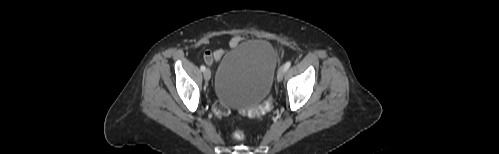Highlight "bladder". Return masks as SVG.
Returning <instances> with one entry per match:
<instances>
[{"label":"bladder","instance_id":"31cf9c89","mask_svg":"<svg viewBox=\"0 0 499 154\" xmlns=\"http://www.w3.org/2000/svg\"><path fill=\"white\" fill-rule=\"evenodd\" d=\"M276 64V51L267 40L255 39L231 49L217 67V99L234 109L260 103L270 91Z\"/></svg>","mask_w":499,"mask_h":154}]
</instances>
